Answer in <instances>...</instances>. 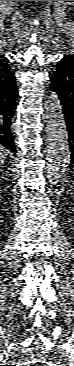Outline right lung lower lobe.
Listing matches in <instances>:
<instances>
[{
  "label": "right lung lower lobe",
  "mask_w": 74,
  "mask_h": 366,
  "mask_svg": "<svg viewBox=\"0 0 74 366\" xmlns=\"http://www.w3.org/2000/svg\"><path fill=\"white\" fill-rule=\"evenodd\" d=\"M16 108L15 76L7 82H0V146H4L13 153L16 151L11 123Z\"/></svg>",
  "instance_id": "98d812e1"
}]
</instances>
